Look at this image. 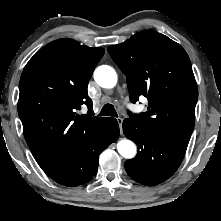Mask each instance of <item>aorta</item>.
Segmentation results:
<instances>
[{
    "instance_id": "aorta-1",
    "label": "aorta",
    "mask_w": 221,
    "mask_h": 221,
    "mask_svg": "<svg viewBox=\"0 0 221 221\" xmlns=\"http://www.w3.org/2000/svg\"><path fill=\"white\" fill-rule=\"evenodd\" d=\"M94 79L99 86L107 89H111L117 84V74L115 70L108 65H102L96 68ZM117 150L122 157L131 159L136 155L137 148L131 140L122 139L117 144Z\"/></svg>"
}]
</instances>
